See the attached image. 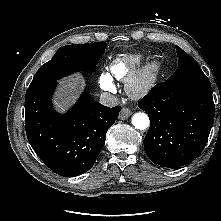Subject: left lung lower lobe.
<instances>
[{"label":"left lung lower lobe","instance_id":"obj_1","mask_svg":"<svg viewBox=\"0 0 221 221\" xmlns=\"http://www.w3.org/2000/svg\"><path fill=\"white\" fill-rule=\"evenodd\" d=\"M138 106L150 119L144 149L151 161L176 169L200 155L215 114L210 83L165 81Z\"/></svg>","mask_w":221,"mask_h":221}]
</instances>
